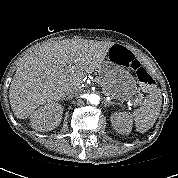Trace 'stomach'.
<instances>
[{"label":"stomach","mask_w":178,"mask_h":178,"mask_svg":"<svg viewBox=\"0 0 178 178\" xmlns=\"http://www.w3.org/2000/svg\"><path fill=\"white\" fill-rule=\"evenodd\" d=\"M114 46H111L107 60L99 67L98 79L112 98L124 102L138 93L137 82L126 68L128 61L124 55L114 54Z\"/></svg>","instance_id":"stomach-1"}]
</instances>
